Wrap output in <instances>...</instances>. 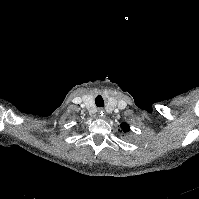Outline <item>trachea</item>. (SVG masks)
Instances as JSON below:
<instances>
[{
  "label": "trachea",
  "mask_w": 199,
  "mask_h": 199,
  "mask_svg": "<svg viewBox=\"0 0 199 199\" xmlns=\"http://www.w3.org/2000/svg\"><path fill=\"white\" fill-rule=\"evenodd\" d=\"M95 103H96V105H97L98 107H101V106H103V99H102L100 96H98V97L96 98V100H95Z\"/></svg>",
  "instance_id": "3493384b"
}]
</instances>
